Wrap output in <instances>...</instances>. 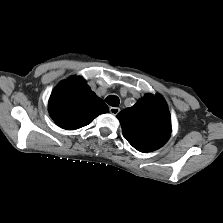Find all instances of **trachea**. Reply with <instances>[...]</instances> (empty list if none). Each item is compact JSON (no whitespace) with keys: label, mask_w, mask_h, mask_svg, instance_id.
Returning a JSON list of instances; mask_svg holds the SVG:
<instances>
[{"label":"trachea","mask_w":223,"mask_h":223,"mask_svg":"<svg viewBox=\"0 0 223 223\" xmlns=\"http://www.w3.org/2000/svg\"><path fill=\"white\" fill-rule=\"evenodd\" d=\"M105 102L112 106V107H118L119 106V98L115 95H109L106 97Z\"/></svg>","instance_id":"obj_1"}]
</instances>
